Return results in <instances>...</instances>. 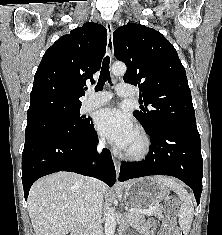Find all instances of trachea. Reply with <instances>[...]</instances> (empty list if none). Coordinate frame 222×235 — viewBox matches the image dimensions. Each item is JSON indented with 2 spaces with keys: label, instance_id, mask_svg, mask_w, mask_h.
I'll use <instances>...</instances> for the list:
<instances>
[{
  "label": "trachea",
  "instance_id": "1",
  "mask_svg": "<svg viewBox=\"0 0 222 235\" xmlns=\"http://www.w3.org/2000/svg\"><path fill=\"white\" fill-rule=\"evenodd\" d=\"M109 64H110V58H109V56H106L103 60V63H102V68L100 71L98 83L95 87V91L102 90L106 81L111 82Z\"/></svg>",
  "mask_w": 222,
  "mask_h": 235
}]
</instances>
